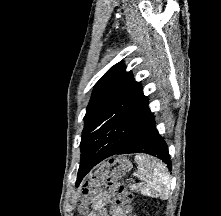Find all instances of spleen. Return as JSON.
Segmentation results:
<instances>
[{"mask_svg": "<svg viewBox=\"0 0 221 216\" xmlns=\"http://www.w3.org/2000/svg\"><path fill=\"white\" fill-rule=\"evenodd\" d=\"M135 161L138 164V178L145 181V185L140 188L141 193L168 199L171 179L166 165L150 156L136 155Z\"/></svg>", "mask_w": 221, "mask_h": 216, "instance_id": "1", "label": "spleen"}]
</instances>
